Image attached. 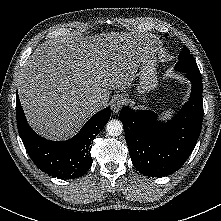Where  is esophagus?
<instances>
[{
	"label": "esophagus",
	"mask_w": 221,
	"mask_h": 221,
	"mask_svg": "<svg viewBox=\"0 0 221 221\" xmlns=\"http://www.w3.org/2000/svg\"><path fill=\"white\" fill-rule=\"evenodd\" d=\"M124 105V99L121 96H115L111 100V109L114 113H118Z\"/></svg>",
	"instance_id": "esophagus-1"
}]
</instances>
